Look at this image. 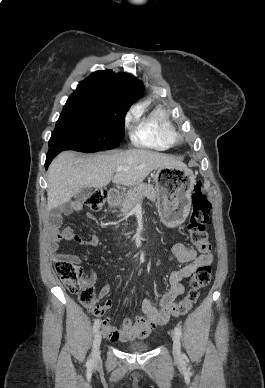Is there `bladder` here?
Segmentation results:
<instances>
[{"label":"bladder","mask_w":265,"mask_h":388,"mask_svg":"<svg viewBox=\"0 0 265 388\" xmlns=\"http://www.w3.org/2000/svg\"><path fill=\"white\" fill-rule=\"evenodd\" d=\"M152 344L151 343H133L131 345L124 346L125 350L132 351V352H147L151 349Z\"/></svg>","instance_id":"obj_1"}]
</instances>
